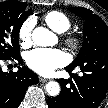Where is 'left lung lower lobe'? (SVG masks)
I'll return each instance as SVG.
<instances>
[{"label":"left lung lower lobe","instance_id":"0a47b994","mask_svg":"<svg viewBox=\"0 0 108 108\" xmlns=\"http://www.w3.org/2000/svg\"><path fill=\"white\" fill-rule=\"evenodd\" d=\"M76 66H67L70 73ZM82 76L70 73L72 79H59L61 92L54 98H49V108H97L108 91V65L86 63L79 66ZM78 91L76 98L71 100L67 94Z\"/></svg>","mask_w":108,"mask_h":108}]
</instances>
